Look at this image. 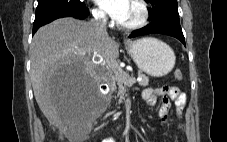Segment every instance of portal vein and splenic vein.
<instances>
[{
    "instance_id": "obj_1",
    "label": "portal vein and splenic vein",
    "mask_w": 227,
    "mask_h": 142,
    "mask_svg": "<svg viewBox=\"0 0 227 142\" xmlns=\"http://www.w3.org/2000/svg\"><path fill=\"white\" fill-rule=\"evenodd\" d=\"M116 76L122 80L127 86H132L135 82L136 79L134 77L129 76L126 72L122 70H117L115 72ZM138 81H141V78L137 79Z\"/></svg>"
}]
</instances>
